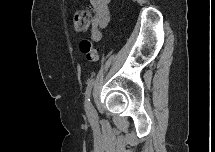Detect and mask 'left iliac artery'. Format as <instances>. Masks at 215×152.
I'll list each match as a JSON object with an SVG mask.
<instances>
[{
  "label": "left iliac artery",
  "instance_id": "obj_1",
  "mask_svg": "<svg viewBox=\"0 0 215 152\" xmlns=\"http://www.w3.org/2000/svg\"><path fill=\"white\" fill-rule=\"evenodd\" d=\"M94 84V79H91L88 82L87 88H86V92H85V110L88 113L89 112V107H90V94H91V90Z\"/></svg>",
  "mask_w": 215,
  "mask_h": 152
}]
</instances>
